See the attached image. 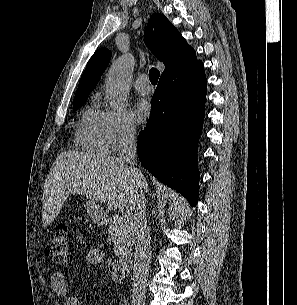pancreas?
Masks as SVG:
<instances>
[{
  "label": "pancreas",
  "instance_id": "1",
  "mask_svg": "<svg viewBox=\"0 0 297 305\" xmlns=\"http://www.w3.org/2000/svg\"><path fill=\"white\" fill-rule=\"evenodd\" d=\"M108 231L114 243V253L116 256H121L131 251L134 235L130 217L121 218V216H114Z\"/></svg>",
  "mask_w": 297,
  "mask_h": 305
}]
</instances>
